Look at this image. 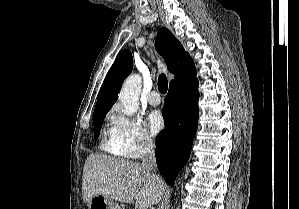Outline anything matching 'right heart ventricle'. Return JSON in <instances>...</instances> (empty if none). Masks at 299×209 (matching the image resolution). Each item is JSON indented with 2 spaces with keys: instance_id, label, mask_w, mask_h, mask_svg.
Returning <instances> with one entry per match:
<instances>
[{
  "instance_id": "1",
  "label": "right heart ventricle",
  "mask_w": 299,
  "mask_h": 209,
  "mask_svg": "<svg viewBox=\"0 0 299 209\" xmlns=\"http://www.w3.org/2000/svg\"><path fill=\"white\" fill-rule=\"evenodd\" d=\"M100 147H101L102 150H104L106 152H109V153H112V154H115V155H121L118 148H117V146H116V144L112 140L111 130L110 129L105 131V135H104V138L101 142Z\"/></svg>"
}]
</instances>
